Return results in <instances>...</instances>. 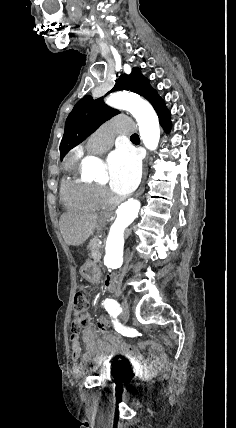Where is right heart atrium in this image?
<instances>
[{"mask_svg": "<svg viewBox=\"0 0 236 428\" xmlns=\"http://www.w3.org/2000/svg\"><path fill=\"white\" fill-rule=\"evenodd\" d=\"M101 192H102V195H103V196L107 195V193H106V191H105V190H101Z\"/></svg>", "mask_w": 236, "mask_h": 428, "instance_id": "right-heart-atrium-1", "label": "right heart atrium"}]
</instances>
